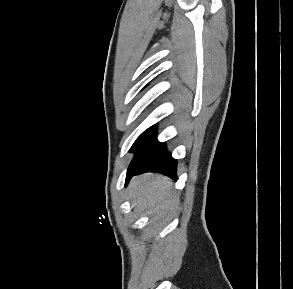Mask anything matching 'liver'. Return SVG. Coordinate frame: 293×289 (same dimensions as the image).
<instances>
[{
  "label": "liver",
  "instance_id": "6515ba94",
  "mask_svg": "<svg viewBox=\"0 0 293 289\" xmlns=\"http://www.w3.org/2000/svg\"><path fill=\"white\" fill-rule=\"evenodd\" d=\"M129 198L136 211H146L151 216L162 215L178 206L179 199L172 190L169 179L158 174H142L129 185Z\"/></svg>",
  "mask_w": 293,
  "mask_h": 289
}]
</instances>
